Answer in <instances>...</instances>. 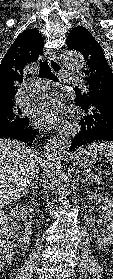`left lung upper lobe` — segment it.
I'll use <instances>...</instances> for the list:
<instances>
[{
  "label": "left lung upper lobe",
  "mask_w": 113,
  "mask_h": 279,
  "mask_svg": "<svg viewBox=\"0 0 113 279\" xmlns=\"http://www.w3.org/2000/svg\"><path fill=\"white\" fill-rule=\"evenodd\" d=\"M66 43L69 49L79 51L83 54L87 69L85 81L89 86V92L80 94L77 91L76 97L85 99L87 103L94 102V95L113 100V74L108 65L103 50L92 34L82 26L75 27L69 33Z\"/></svg>",
  "instance_id": "1"
}]
</instances>
